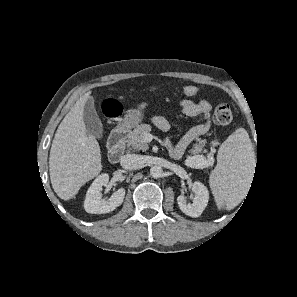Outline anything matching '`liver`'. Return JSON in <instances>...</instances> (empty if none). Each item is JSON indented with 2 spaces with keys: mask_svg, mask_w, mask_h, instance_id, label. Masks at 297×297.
<instances>
[{
  "mask_svg": "<svg viewBox=\"0 0 297 297\" xmlns=\"http://www.w3.org/2000/svg\"><path fill=\"white\" fill-rule=\"evenodd\" d=\"M91 92L85 93L64 117L55 133L49 156L52 187L63 200L73 198L80 188L102 170L96 138L87 133L83 111Z\"/></svg>",
  "mask_w": 297,
  "mask_h": 297,
  "instance_id": "6515ba94",
  "label": "liver"
}]
</instances>
